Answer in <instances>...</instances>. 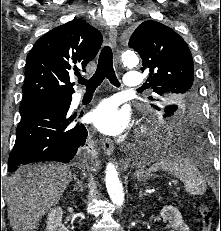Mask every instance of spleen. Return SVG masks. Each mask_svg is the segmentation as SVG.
<instances>
[{"instance_id": "3e777b00", "label": "spleen", "mask_w": 221, "mask_h": 231, "mask_svg": "<svg viewBox=\"0 0 221 231\" xmlns=\"http://www.w3.org/2000/svg\"><path fill=\"white\" fill-rule=\"evenodd\" d=\"M166 171L184 182L185 190L191 195H203L207 186L195 161L189 158L164 157L153 164L150 172Z\"/></svg>"}]
</instances>
